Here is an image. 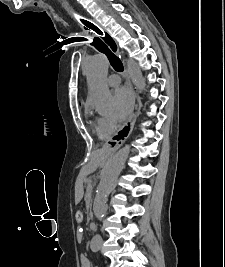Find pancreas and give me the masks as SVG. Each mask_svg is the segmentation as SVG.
Instances as JSON below:
<instances>
[{
    "instance_id": "pancreas-1",
    "label": "pancreas",
    "mask_w": 225,
    "mask_h": 267,
    "mask_svg": "<svg viewBox=\"0 0 225 267\" xmlns=\"http://www.w3.org/2000/svg\"><path fill=\"white\" fill-rule=\"evenodd\" d=\"M85 200L87 204L91 202V189L90 188L86 189Z\"/></svg>"
}]
</instances>
